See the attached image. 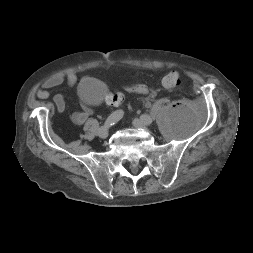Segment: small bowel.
<instances>
[{
    "label": "small bowel",
    "mask_w": 253,
    "mask_h": 253,
    "mask_svg": "<svg viewBox=\"0 0 253 253\" xmlns=\"http://www.w3.org/2000/svg\"><path fill=\"white\" fill-rule=\"evenodd\" d=\"M78 78L74 73H68L66 75H55L48 78L42 85V88L37 92V96L39 99H47L50 94V90L66 83L68 86H73L77 83ZM54 104L57 111L62 112L65 108V100L64 97L60 94L54 97ZM82 109L80 111L75 112L72 115V120L77 125H82L88 119L91 114V109L81 103Z\"/></svg>",
    "instance_id": "1"
}]
</instances>
